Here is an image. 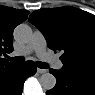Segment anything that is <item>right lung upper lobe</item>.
<instances>
[{"label":"right lung upper lobe","instance_id":"right-lung-upper-lobe-1","mask_svg":"<svg viewBox=\"0 0 95 95\" xmlns=\"http://www.w3.org/2000/svg\"><path fill=\"white\" fill-rule=\"evenodd\" d=\"M29 12L0 6V55L13 51L12 39L14 28L25 21ZM18 64L0 58V78L13 70Z\"/></svg>","mask_w":95,"mask_h":95}]
</instances>
